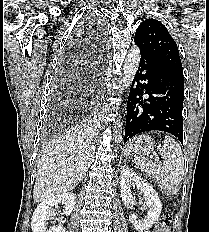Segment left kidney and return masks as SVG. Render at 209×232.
Masks as SVG:
<instances>
[{"label": "left kidney", "mask_w": 209, "mask_h": 232, "mask_svg": "<svg viewBox=\"0 0 209 232\" xmlns=\"http://www.w3.org/2000/svg\"><path fill=\"white\" fill-rule=\"evenodd\" d=\"M135 186L143 194L144 205L148 208V212L146 218L142 221L138 220L136 215H131L129 221L138 232H147L153 223L158 220L162 203L153 187L136 173L132 172L128 166L124 165L121 168L120 188L122 201L125 205L134 203L135 198L132 195L131 188Z\"/></svg>", "instance_id": "5707ae66"}]
</instances>
